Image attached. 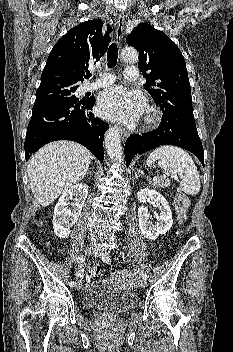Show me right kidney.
<instances>
[{"mask_svg": "<svg viewBox=\"0 0 233 352\" xmlns=\"http://www.w3.org/2000/svg\"><path fill=\"white\" fill-rule=\"evenodd\" d=\"M88 195V186L84 183L76 184L64 192L59 198L54 209L53 228L54 233L60 238H66L70 234L71 227L77 222L82 207ZM74 197L72 208L69 201Z\"/></svg>", "mask_w": 233, "mask_h": 352, "instance_id": "ca27d5eb", "label": "right kidney"}]
</instances>
